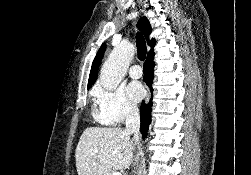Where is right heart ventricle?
<instances>
[{
  "mask_svg": "<svg viewBox=\"0 0 251 175\" xmlns=\"http://www.w3.org/2000/svg\"><path fill=\"white\" fill-rule=\"evenodd\" d=\"M97 119H98L99 121L105 123V122L99 117V115H97ZM106 124H107V123H106Z\"/></svg>",
  "mask_w": 251,
  "mask_h": 175,
  "instance_id": "e07e8e85",
  "label": "right heart ventricle"
}]
</instances>
